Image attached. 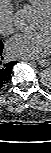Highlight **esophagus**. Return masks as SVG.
Returning <instances> with one entry per match:
<instances>
[{
    "mask_svg": "<svg viewBox=\"0 0 51 153\" xmlns=\"http://www.w3.org/2000/svg\"><path fill=\"white\" fill-rule=\"evenodd\" d=\"M37 64L42 66V67H47L50 65V61L47 59H42V60H38Z\"/></svg>",
    "mask_w": 51,
    "mask_h": 153,
    "instance_id": "34e87169",
    "label": "esophagus"
}]
</instances>
